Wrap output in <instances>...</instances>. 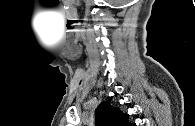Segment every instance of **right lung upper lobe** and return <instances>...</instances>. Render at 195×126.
Here are the masks:
<instances>
[{"mask_svg": "<svg viewBox=\"0 0 195 126\" xmlns=\"http://www.w3.org/2000/svg\"><path fill=\"white\" fill-rule=\"evenodd\" d=\"M128 117L109 102H102L96 109L95 123L96 126H135L129 123Z\"/></svg>", "mask_w": 195, "mask_h": 126, "instance_id": "obj_1", "label": "right lung upper lobe"}]
</instances>
